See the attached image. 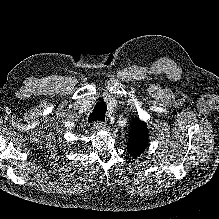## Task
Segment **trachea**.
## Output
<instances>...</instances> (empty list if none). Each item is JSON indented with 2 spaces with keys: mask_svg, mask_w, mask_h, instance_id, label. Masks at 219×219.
Listing matches in <instances>:
<instances>
[{
  "mask_svg": "<svg viewBox=\"0 0 219 219\" xmlns=\"http://www.w3.org/2000/svg\"><path fill=\"white\" fill-rule=\"evenodd\" d=\"M99 101L96 103L93 112L89 115L88 121H104V115L107 110V105L102 101V99H98Z\"/></svg>",
  "mask_w": 219,
  "mask_h": 219,
  "instance_id": "obj_1",
  "label": "trachea"
}]
</instances>
